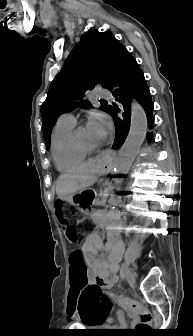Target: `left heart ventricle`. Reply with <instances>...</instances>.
I'll list each match as a JSON object with an SVG mask.
<instances>
[{"label":"left heart ventricle","mask_w":193,"mask_h":336,"mask_svg":"<svg viewBox=\"0 0 193 336\" xmlns=\"http://www.w3.org/2000/svg\"><path fill=\"white\" fill-rule=\"evenodd\" d=\"M78 138L85 144L98 145L100 141L90 133L87 127H83L77 133Z\"/></svg>","instance_id":"b2bd125f"}]
</instances>
